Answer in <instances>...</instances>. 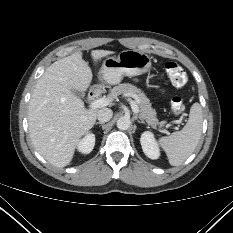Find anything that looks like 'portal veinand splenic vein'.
Wrapping results in <instances>:
<instances>
[{"instance_id": "1", "label": "portal vein and splenic vein", "mask_w": 233, "mask_h": 233, "mask_svg": "<svg viewBox=\"0 0 233 233\" xmlns=\"http://www.w3.org/2000/svg\"><path fill=\"white\" fill-rule=\"evenodd\" d=\"M129 103H130V106H131L133 112L138 113L139 112V107L136 104V102L133 101V100H129ZM110 104H111V99L103 97V98H99V99L94 100L90 104V108L96 109V108H101V107H104V106H107V105H110Z\"/></svg>"}]
</instances>
